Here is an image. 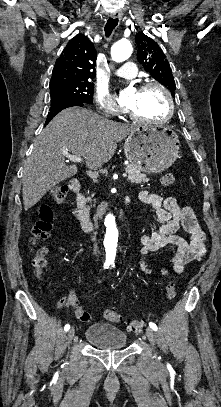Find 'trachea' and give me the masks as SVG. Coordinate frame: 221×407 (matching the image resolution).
Listing matches in <instances>:
<instances>
[{"label":"trachea","mask_w":221,"mask_h":407,"mask_svg":"<svg viewBox=\"0 0 221 407\" xmlns=\"http://www.w3.org/2000/svg\"><path fill=\"white\" fill-rule=\"evenodd\" d=\"M118 25V18H109L105 25V35L109 37L115 27Z\"/></svg>","instance_id":"obj_1"}]
</instances>
